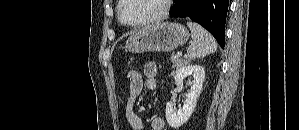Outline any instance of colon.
Returning <instances> with one entry per match:
<instances>
[{
    "label": "colon",
    "instance_id": "obj_1",
    "mask_svg": "<svg viewBox=\"0 0 299 130\" xmlns=\"http://www.w3.org/2000/svg\"><path fill=\"white\" fill-rule=\"evenodd\" d=\"M127 78L129 80V84H137L142 80L140 71L133 68L128 71Z\"/></svg>",
    "mask_w": 299,
    "mask_h": 130
}]
</instances>
